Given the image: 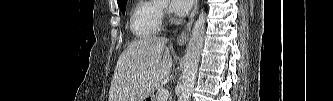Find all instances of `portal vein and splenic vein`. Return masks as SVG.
<instances>
[{
	"label": "portal vein and splenic vein",
	"instance_id": "1",
	"mask_svg": "<svg viewBox=\"0 0 333 101\" xmlns=\"http://www.w3.org/2000/svg\"><path fill=\"white\" fill-rule=\"evenodd\" d=\"M169 96V91L167 89H161L160 90V98L161 100L167 99Z\"/></svg>",
	"mask_w": 333,
	"mask_h": 101
}]
</instances>
